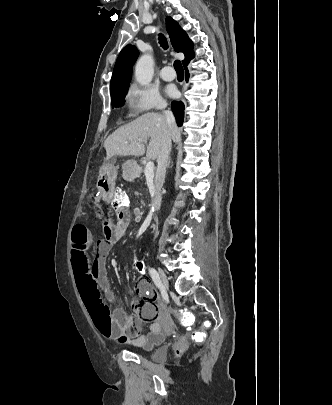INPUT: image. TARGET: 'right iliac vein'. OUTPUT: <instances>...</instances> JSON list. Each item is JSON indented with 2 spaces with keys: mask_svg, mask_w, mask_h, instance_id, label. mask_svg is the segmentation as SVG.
I'll return each instance as SVG.
<instances>
[{
  "mask_svg": "<svg viewBox=\"0 0 332 405\" xmlns=\"http://www.w3.org/2000/svg\"><path fill=\"white\" fill-rule=\"evenodd\" d=\"M157 273H158L159 278H160L161 282L163 283V285L165 287H168L169 283H168V279H167V276L164 273V271L162 269L158 268Z\"/></svg>",
  "mask_w": 332,
  "mask_h": 405,
  "instance_id": "1",
  "label": "right iliac vein"
}]
</instances>
